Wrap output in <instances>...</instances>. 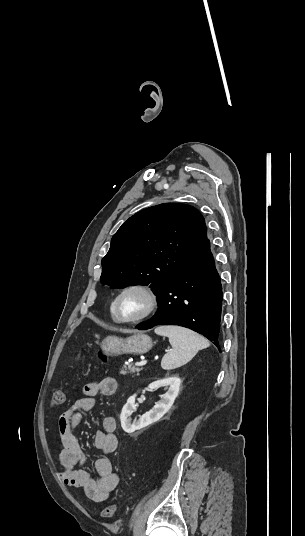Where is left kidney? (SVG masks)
<instances>
[{
	"instance_id": "1",
	"label": "left kidney",
	"mask_w": 305,
	"mask_h": 536,
	"mask_svg": "<svg viewBox=\"0 0 305 536\" xmlns=\"http://www.w3.org/2000/svg\"><path fill=\"white\" fill-rule=\"evenodd\" d=\"M180 384L181 380L180 378H177V376H167V378H163V380L152 382V384L148 386L150 390H157V388H160V386H164V390H168V392L167 394H164V396H161V400L157 402L156 406L152 408L151 412H146L144 416H140L139 420H137V422H133V424L131 414L136 412V394L131 396V398H128L120 414L121 426L124 432H127V434H133L135 430L146 428V426H150V424H154V422H158L160 418H163L164 414H166V412L170 410L171 406H173L174 400L179 394Z\"/></svg>"
}]
</instances>
